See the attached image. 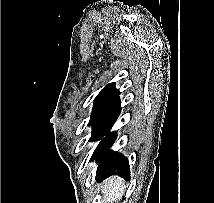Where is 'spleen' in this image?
<instances>
[{"label":"spleen","instance_id":"3e777b00","mask_svg":"<svg viewBox=\"0 0 214 203\" xmlns=\"http://www.w3.org/2000/svg\"><path fill=\"white\" fill-rule=\"evenodd\" d=\"M124 188L123 180L110 178L102 187L104 197L101 203H114V201L119 200L123 195Z\"/></svg>","mask_w":214,"mask_h":203}]
</instances>
